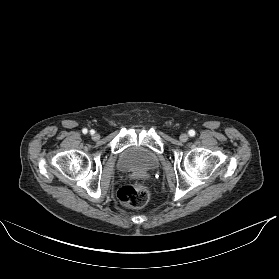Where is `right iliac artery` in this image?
I'll return each mask as SVG.
<instances>
[{
	"label": "right iliac artery",
	"instance_id": "right-iliac-artery-1",
	"mask_svg": "<svg viewBox=\"0 0 279 279\" xmlns=\"http://www.w3.org/2000/svg\"><path fill=\"white\" fill-rule=\"evenodd\" d=\"M82 132H83L84 134H86V133L88 132V130L85 128V129L82 130ZM90 133H91V134H94L95 131L91 130Z\"/></svg>",
	"mask_w": 279,
	"mask_h": 279
}]
</instances>
